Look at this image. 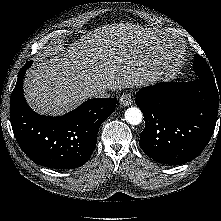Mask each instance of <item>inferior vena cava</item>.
Returning <instances> with one entry per match:
<instances>
[{
  "label": "inferior vena cava",
  "mask_w": 221,
  "mask_h": 221,
  "mask_svg": "<svg viewBox=\"0 0 221 221\" xmlns=\"http://www.w3.org/2000/svg\"><path fill=\"white\" fill-rule=\"evenodd\" d=\"M89 96L96 98H107L110 97V94H108L105 88H96L89 92Z\"/></svg>",
  "instance_id": "inferior-vena-cava-1"
}]
</instances>
